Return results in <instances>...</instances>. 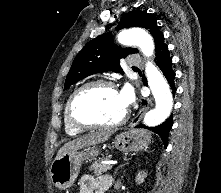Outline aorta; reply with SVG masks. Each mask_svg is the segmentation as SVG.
Wrapping results in <instances>:
<instances>
[{
  "label": "aorta",
  "instance_id": "obj_1",
  "mask_svg": "<svg viewBox=\"0 0 221 193\" xmlns=\"http://www.w3.org/2000/svg\"><path fill=\"white\" fill-rule=\"evenodd\" d=\"M118 41L127 46H139L145 57L149 58L153 55V39L142 29L132 28L124 30L118 35ZM145 72L148 85L155 98L156 107L146 113L143 122L147 126L154 127L161 124L170 115L173 98L163 75L151 62H147Z\"/></svg>",
  "mask_w": 221,
  "mask_h": 193
}]
</instances>
